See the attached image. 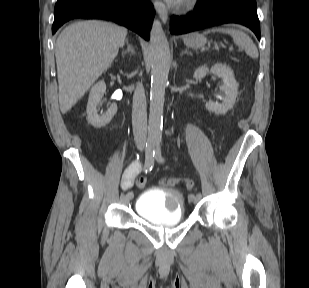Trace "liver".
<instances>
[{"label": "liver", "mask_w": 309, "mask_h": 288, "mask_svg": "<svg viewBox=\"0 0 309 288\" xmlns=\"http://www.w3.org/2000/svg\"><path fill=\"white\" fill-rule=\"evenodd\" d=\"M127 30L103 21H79L66 27L55 45L59 105L67 113L111 65Z\"/></svg>", "instance_id": "liver-1"}]
</instances>
